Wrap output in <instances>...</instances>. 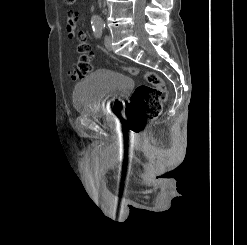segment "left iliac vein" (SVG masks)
I'll use <instances>...</instances> for the list:
<instances>
[{
  "mask_svg": "<svg viewBox=\"0 0 247 245\" xmlns=\"http://www.w3.org/2000/svg\"><path fill=\"white\" fill-rule=\"evenodd\" d=\"M104 44H105V47H106L109 51L112 50L111 37H110L109 35H106V36H105Z\"/></svg>",
  "mask_w": 247,
  "mask_h": 245,
  "instance_id": "4c4485c4",
  "label": "left iliac vein"
}]
</instances>
